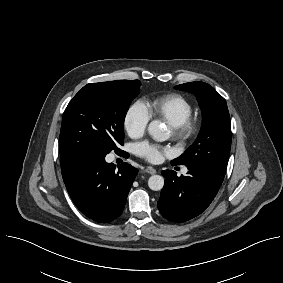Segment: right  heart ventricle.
<instances>
[{
    "label": "right heart ventricle",
    "mask_w": 283,
    "mask_h": 283,
    "mask_svg": "<svg viewBox=\"0 0 283 283\" xmlns=\"http://www.w3.org/2000/svg\"><path fill=\"white\" fill-rule=\"evenodd\" d=\"M145 108L149 116L160 118L170 126L180 124L192 113L189 100L177 93L154 97L146 102Z\"/></svg>",
    "instance_id": "e07e8e85"
}]
</instances>
